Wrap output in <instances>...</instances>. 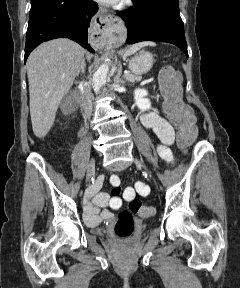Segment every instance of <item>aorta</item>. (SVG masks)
<instances>
[{"mask_svg":"<svg viewBox=\"0 0 240 288\" xmlns=\"http://www.w3.org/2000/svg\"><path fill=\"white\" fill-rule=\"evenodd\" d=\"M108 71L109 63H104L94 73L92 84L96 93L99 92L101 87L105 84Z\"/></svg>","mask_w":240,"mask_h":288,"instance_id":"1","label":"aorta"}]
</instances>
